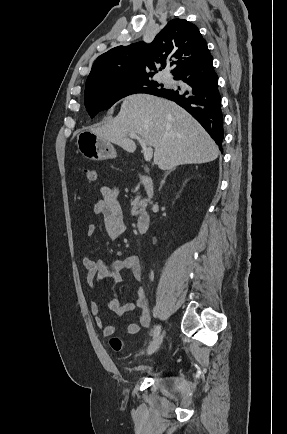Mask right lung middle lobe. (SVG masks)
<instances>
[{
    "mask_svg": "<svg viewBox=\"0 0 287 434\" xmlns=\"http://www.w3.org/2000/svg\"><path fill=\"white\" fill-rule=\"evenodd\" d=\"M151 76L120 78L93 82L85 87L84 101L93 118L99 111L110 108L121 98L135 93H148L164 89L162 84L150 81Z\"/></svg>",
    "mask_w": 287,
    "mask_h": 434,
    "instance_id": "1",
    "label": "right lung middle lobe"
}]
</instances>
